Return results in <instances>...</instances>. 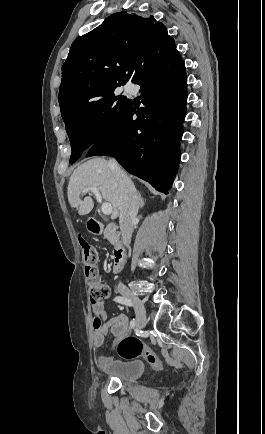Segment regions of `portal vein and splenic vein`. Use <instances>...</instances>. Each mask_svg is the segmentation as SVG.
I'll return each instance as SVG.
<instances>
[{
  "label": "portal vein and splenic vein",
  "instance_id": "portal-vein-and-splenic-vein-1",
  "mask_svg": "<svg viewBox=\"0 0 265 434\" xmlns=\"http://www.w3.org/2000/svg\"><path fill=\"white\" fill-rule=\"evenodd\" d=\"M83 192H84V194H85V192H92V194H94L97 202H99V204H101L102 196H101L98 188H95V186H91V188H84ZM101 210H102L103 214H105V216H110V214H112V206H111V204H109V202H105V204H102Z\"/></svg>",
  "mask_w": 265,
  "mask_h": 434
}]
</instances>
